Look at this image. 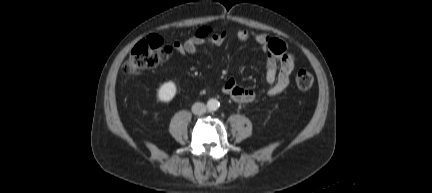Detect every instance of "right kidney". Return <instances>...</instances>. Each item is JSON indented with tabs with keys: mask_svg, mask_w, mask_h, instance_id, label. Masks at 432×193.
Segmentation results:
<instances>
[{
	"mask_svg": "<svg viewBox=\"0 0 432 193\" xmlns=\"http://www.w3.org/2000/svg\"><path fill=\"white\" fill-rule=\"evenodd\" d=\"M176 91V84L173 81L165 82L158 90L157 96L159 101L164 103L170 102L175 97Z\"/></svg>",
	"mask_w": 432,
	"mask_h": 193,
	"instance_id": "ca27d5eb",
	"label": "right kidney"
}]
</instances>
